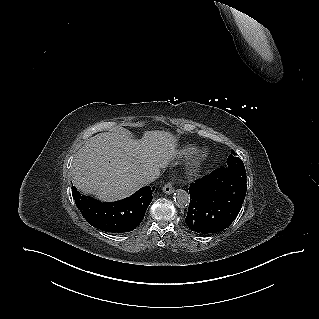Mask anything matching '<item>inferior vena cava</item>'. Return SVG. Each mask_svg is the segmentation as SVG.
<instances>
[{"instance_id":"inferior-vena-cava-1","label":"inferior vena cava","mask_w":319,"mask_h":319,"mask_svg":"<svg viewBox=\"0 0 319 319\" xmlns=\"http://www.w3.org/2000/svg\"><path fill=\"white\" fill-rule=\"evenodd\" d=\"M160 173L158 172H150L148 174H146L143 178V182L145 184H148V183H151V182H154L158 177H159Z\"/></svg>"}]
</instances>
